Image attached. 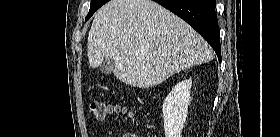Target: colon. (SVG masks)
<instances>
[{"label":"colon","instance_id":"obj_1","mask_svg":"<svg viewBox=\"0 0 280 137\" xmlns=\"http://www.w3.org/2000/svg\"><path fill=\"white\" fill-rule=\"evenodd\" d=\"M118 109V106H111L102 101H92L89 104V112L97 119L104 120L112 111Z\"/></svg>","mask_w":280,"mask_h":137}]
</instances>
